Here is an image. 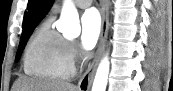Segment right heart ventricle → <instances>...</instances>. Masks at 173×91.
Wrapping results in <instances>:
<instances>
[{
	"mask_svg": "<svg viewBox=\"0 0 173 91\" xmlns=\"http://www.w3.org/2000/svg\"><path fill=\"white\" fill-rule=\"evenodd\" d=\"M24 70L40 80L59 81L73 76L69 43L46 20L31 37L24 53Z\"/></svg>",
	"mask_w": 173,
	"mask_h": 91,
	"instance_id": "e07e8e85",
	"label": "right heart ventricle"
}]
</instances>
